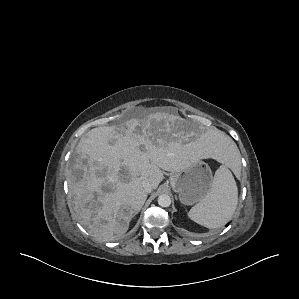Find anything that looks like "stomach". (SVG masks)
<instances>
[{
  "mask_svg": "<svg viewBox=\"0 0 299 299\" xmlns=\"http://www.w3.org/2000/svg\"><path fill=\"white\" fill-rule=\"evenodd\" d=\"M212 182V171L204 161L194 163L186 170L170 176V185L184 205H193L203 200L210 192Z\"/></svg>",
  "mask_w": 299,
  "mask_h": 299,
  "instance_id": "1",
  "label": "stomach"
}]
</instances>
